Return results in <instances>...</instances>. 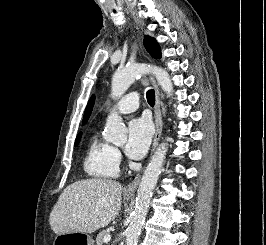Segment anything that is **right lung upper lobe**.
Masks as SVG:
<instances>
[{"instance_id":"1","label":"right lung upper lobe","mask_w":266,"mask_h":245,"mask_svg":"<svg viewBox=\"0 0 266 245\" xmlns=\"http://www.w3.org/2000/svg\"><path fill=\"white\" fill-rule=\"evenodd\" d=\"M94 100H95V97L92 96L87 104V107H86V110H85V114H84V117H83V125L87 122L90 114H91V111H92V108H93V105H94Z\"/></svg>"}]
</instances>
